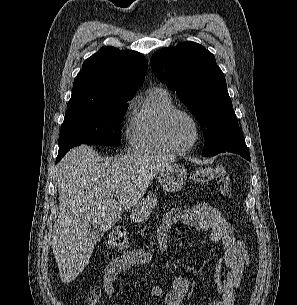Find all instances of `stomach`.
I'll list each match as a JSON object with an SVG mask.
<instances>
[{
	"instance_id": "stomach-1",
	"label": "stomach",
	"mask_w": 297,
	"mask_h": 305,
	"mask_svg": "<svg viewBox=\"0 0 297 305\" xmlns=\"http://www.w3.org/2000/svg\"><path fill=\"white\" fill-rule=\"evenodd\" d=\"M187 171L178 164H170L159 172V182L167 192L181 190L186 181ZM157 203V198L153 193H148L132 210L131 219L135 222L146 220L152 213Z\"/></svg>"
}]
</instances>
